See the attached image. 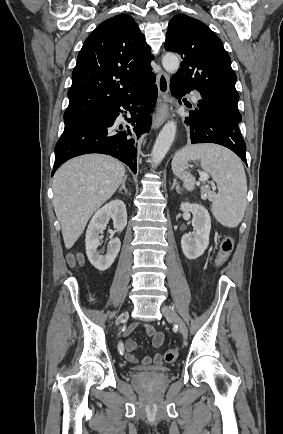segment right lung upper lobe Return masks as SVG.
<instances>
[{"mask_svg": "<svg viewBox=\"0 0 283 434\" xmlns=\"http://www.w3.org/2000/svg\"><path fill=\"white\" fill-rule=\"evenodd\" d=\"M152 59L131 16L120 14L102 22L79 52L64 120L101 111L129 95L153 73Z\"/></svg>", "mask_w": 283, "mask_h": 434, "instance_id": "1", "label": "right lung upper lobe"}]
</instances>
